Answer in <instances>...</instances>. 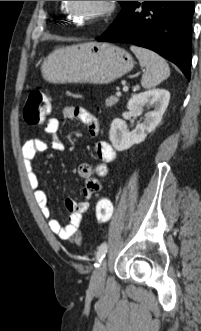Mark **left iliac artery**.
Masks as SVG:
<instances>
[{
  "label": "left iliac artery",
  "mask_w": 201,
  "mask_h": 331,
  "mask_svg": "<svg viewBox=\"0 0 201 331\" xmlns=\"http://www.w3.org/2000/svg\"><path fill=\"white\" fill-rule=\"evenodd\" d=\"M106 253H107V243L104 242L98 248V252H97V255H96L97 263L95 264V267H98L99 266L98 263H100L102 261V259L106 255Z\"/></svg>",
  "instance_id": "obj_1"
}]
</instances>
